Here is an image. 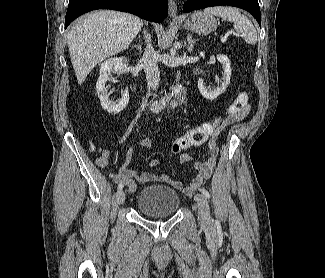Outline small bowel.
I'll return each instance as SVG.
<instances>
[{
	"label": "small bowel",
	"instance_id": "obj_1",
	"mask_svg": "<svg viewBox=\"0 0 325 278\" xmlns=\"http://www.w3.org/2000/svg\"><path fill=\"white\" fill-rule=\"evenodd\" d=\"M246 113V110L238 113L231 120H237L242 118ZM193 132V128L187 131L183 136L187 137ZM216 134L214 133L208 141V156L205 159L195 160L194 156L191 153H182L179 156V161L181 163H188L194 161L193 168L197 174L192 179L191 183L187 186L177 180L170 178L165 174H152L149 171H144L140 176H138L133 170L127 168L128 164L131 161V152L132 148L129 150V153L126 157L124 165L120 168L119 172L113 175L112 179L115 183L124 184L128 187L129 193H134L139 185L147 184L151 181H162L176 188H184V191L188 194H191L196 190L205 180H207L212 174L217 159L219 155V148L216 142ZM136 145H140L146 148L151 147V143L147 139H140L136 142ZM201 145V144H200ZM198 146V145H197ZM110 160V152L104 150L101 155L96 159V163L99 167H106ZM159 164L158 160H153L149 163V167H155Z\"/></svg>",
	"mask_w": 325,
	"mask_h": 278
}]
</instances>
